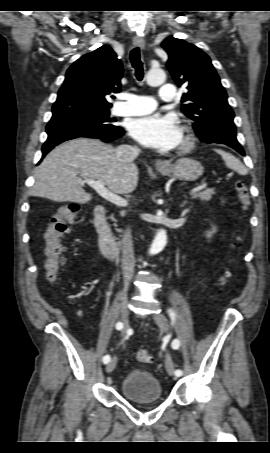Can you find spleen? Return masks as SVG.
Wrapping results in <instances>:
<instances>
[{
    "label": "spleen",
    "mask_w": 270,
    "mask_h": 453,
    "mask_svg": "<svg viewBox=\"0 0 270 453\" xmlns=\"http://www.w3.org/2000/svg\"><path fill=\"white\" fill-rule=\"evenodd\" d=\"M215 152H217L222 157V159L225 162V165L228 168L235 170L236 172H238L241 175L247 174L246 167L235 156H233L232 154L225 152L223 150H219V149H215Z\"/></svg>",
    "instance_id": "1"
}]
</instances>
